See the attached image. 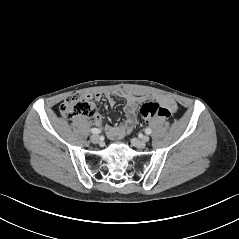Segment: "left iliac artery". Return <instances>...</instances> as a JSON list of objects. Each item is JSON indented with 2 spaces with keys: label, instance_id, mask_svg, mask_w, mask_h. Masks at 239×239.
Here are the masks:
<instances>
[{
  "label": "left iliac artery",
  "instance_id": "44dca946",
  "mask_svg": "<svg viewBox=\"0 0 239 239\" xmlns=\"http://www.w3.org/2000/svg\"><path fill=\"white\" fill-rule=\"evenodd\" d=\"M145 133H146V134H151V129H150V128H146V129H145Z\"/></svg>",
  "mask_w": 239,
  "mask_h": 239
}]
</instances>
